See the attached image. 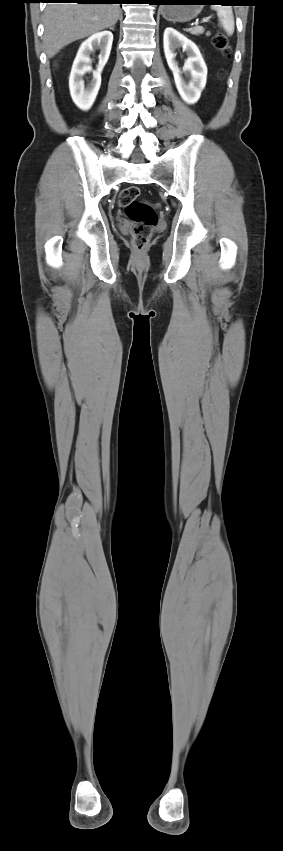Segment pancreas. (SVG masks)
<instances>
[{"label":"pancreas","mask_w":283,"mask_h":851,"mask_svg":"<svg viewBox=\"0 0 283 851\" xmlns=\"http://www.w3.org/2000/svg\"><path fill=\"white\" fill-rule=\"evenodd\" d=\"M188 31H189L191 34H193V35H200V34H202V33L204 32V28H203V27H200V26H197V27H194V28L188 29Z\"/></svg>","instance_id":"cf45deb5"}]
</instances>
